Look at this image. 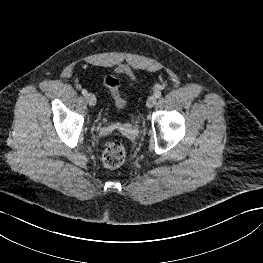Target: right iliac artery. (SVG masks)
<instances>
[{"mask_svg":"<svg viewBox=\"0 0 263 263\" xmlns=\"http://www.w3.org/2000/svg\"><path fill=\"white\" fill-rule=\"evenodd\" d=\"M82 94L84 95V96H86L88 93H87V90H85V89H83L82 90Z\"/></svg>","mask_w":263,"mask_h":263,"instance_id":"right-iliac-artery-1","label":"right iliac artery"}]
</instances>
